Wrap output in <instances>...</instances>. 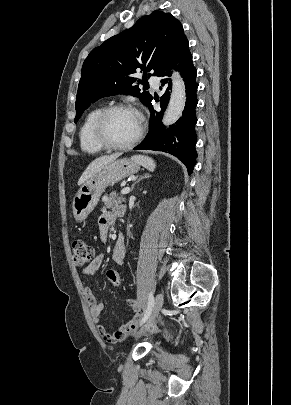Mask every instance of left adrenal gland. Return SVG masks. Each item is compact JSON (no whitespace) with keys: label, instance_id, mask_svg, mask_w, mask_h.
I'll list each match as a JSON object with an SVG mask.
<instances>
[{"label":"left adrenal gland","instance_id":"left-adrenal-gland-1","mask_svg":"<svg viewBox=\"0 0 291 405\" xmlns=\"http://www.w3.org/2000/svg\"><path fill=\"white\" fill-rule=\"evenodd\" d=\"M149 177H150L149 174H145L144 176H140V177L138 178V180H137L136 182H134V184L132 185L131 191L134 190V187H135V185H136L137 183H139L141 180H143V179H145V178H149Z\"/></svg>","mask_w":291,"mask_h":405}]
</instances>
